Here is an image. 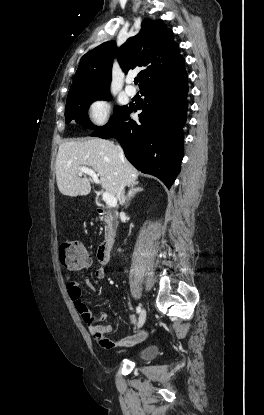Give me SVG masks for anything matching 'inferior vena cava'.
Returning <instances> with one entry per match:
<instances>
[{
    "instance_id": "obj_1",
    "label": "inferior vena cava",
    "mask_w": 264,
    "mask_h": 415,
    "mask_svg": "<svg viewBox=\"0 0 264 415\" xmlns=\"http://www.w3.org/2000/svg\"><path fill=\"white\" fill-rule=\"evenodd\" d=\"M118 149H119L120 157L124 158V154H123V151H122L121 147L118 146ZM125 185H126L125 181H123L121 183L120 187H119V191H118V194H117V197H118L121 204H123L125 202V190H124Z\"/></svg>"
}]
</instances>
